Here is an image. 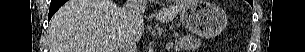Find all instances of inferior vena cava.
I'll return each instance as SVG.
<instances>
[{
	"instance_id": "602c4592",
	"label": "inferior vena cava",
	"mask_w": 305,
	"mask_h": 52,
	"mask_svg": "<svg viewBox=\"0 0 305 52\" xmlns=\"http://www.w3.org/2000/svg\"><path fill=\"white\" fill-rule=\"evenodd\" d=\"M147 0H127L122 9L124 20L127 25L132 26L139 21L146 9ZM117 52H136V44L133 35L124 34L119 43Z\"/></svg>"
}]
</instances>
